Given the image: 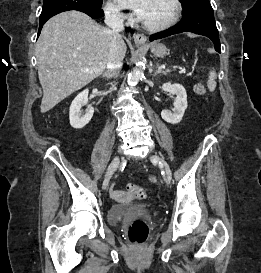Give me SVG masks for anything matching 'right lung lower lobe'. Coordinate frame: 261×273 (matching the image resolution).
Instances as JSON below:
<instances>
[{
  "label": "right lung lower lobe",
  "instance_id": "98d812e1",
  "mask_svg": "<svg viewBox=\"0 0 261 273\" xmlns=\"http://www.w3.org/2000/svg\"><path fill=\"white\" fill-rule=\"evenodd\" d=\"M46 1H49V0H46ZM47 3H51L54 9L48 10V11H45L42 9V12L40 15V21H39L38 35L40 34L43 24L48 19H50L52 16L63 11L78 10V11L86 13L93 19L101 18L104 16L101 6L93 4V3H88L85 0H50V2H47Z\"/></svg>",
  "mask_w": 261,
  "mask_h": 273
}]
</instances>
